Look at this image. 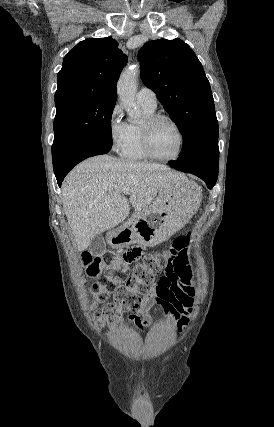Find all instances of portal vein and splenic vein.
Listing matches in <instances>:
<instances>
[{"mask_svg": "<svg viewBox=\"0 0 274 427\" xmlns=\"http://www.w3.org/2000/svg\"><path fill=\"white\" fill-rule=\"evenodd\" d=\"M122 194L123 196H127V194H129V188H126V190H123Z\"/></svg>", "mask_w": 274, "mask_h": 427, "instance_id": "1", "label": "portal vein and splenic vein"}]
</instances>
